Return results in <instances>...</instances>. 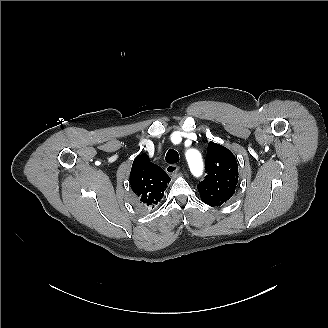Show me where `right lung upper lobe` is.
Returning <instances> with one entry per match:
<instances>
[{"label":"right lung upper lobe","instance_id":"1","mask_svg":"<svg viewBox=\"0 0 328 328\" xmlns=\"http://www.w3.org/2000/svg\"><path fill=\"white\" fill-rule=\"evenodd\" d=\"M170 180L162 168L149 161L147 155L141 154L134 159L130 185L133 192L140 198L141 205L145 207L157 205Z\"/></svg>","mask_w":328,"mask_h":328}]
</instances>
